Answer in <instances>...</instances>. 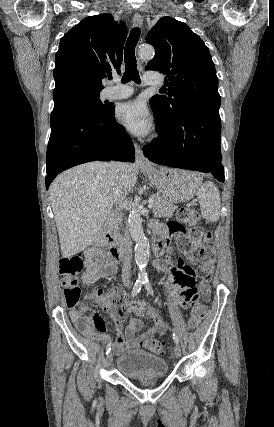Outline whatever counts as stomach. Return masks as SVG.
Wrapping results in <instances>:
<instances>
[{"mask_svg": "<svg viewBox=\"0 0 274 427\" xmlns=\"http://www.w3.org/2000/svg\"><path fill=\"white\" fill-rule=\"evenodd\" d=\"M145 174L151 184L156 186L165 198H169L171 202H176V204L191 200L201 182L199 174L184 172V170H169V168L156 170V168H151Z\"/></svg>", "mask_w": 274, "mask_h": 427, "instance_id": "obj_1", "label": "stomach"}]
</instances>
